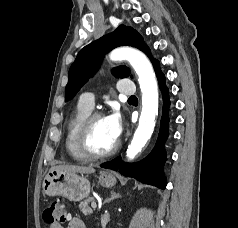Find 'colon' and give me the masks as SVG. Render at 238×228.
Segmentation results:
<instances>
[{
	"instance_id": "5ec220e1",
	"label": "colon",
	"mask_w": 238,
	"mask_h": 228,
	"mask_svg": "<svg viewBox=\"0 0 238 228\" xmlns=\"http://www.w3.org/2000/svg\"><path fill=\"white\" fill-rule=\"evenodd\" d=\"M68 215L66 205L59 201L52 202L43 212L44 221L49 224H64Z\"/></svg>"
}]
</instances>
